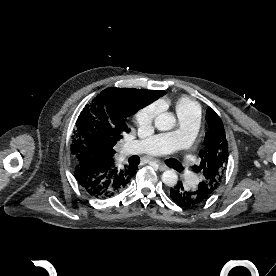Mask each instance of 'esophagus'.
<instances>
[{"mask_svg":"<svg viewBox=\"0 0 276 276\" xmlns=\"http://www.w3.org/2000/svg\"><path fill=\"white\" fill-rule=\"evenodd\" d=\"M148 161H155L159 166V170H161V171H164V170L168 169V167L165 164H163L162 162H160L159 160H156V159H153V158H148Z\"/></svg>","mask_w":276,"mask_h":276,"instance_id":"1","label":"esophagus"}]
</instances>
